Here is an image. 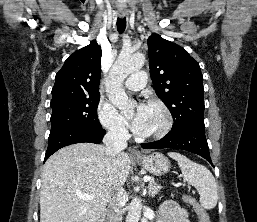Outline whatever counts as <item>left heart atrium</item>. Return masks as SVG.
I'll use <instances>...</instances> for the list:
<instances>
[{"label":"left heart atrium","instance_id":"1","mask_svg":"<svg viewBox=\"0 0 257 222\" xmlns=\"http://www.w3.org/2000/svg\"><path fill=\"white\" fill-rule=\"evenodd\" d=\"M150 110L149 105L139 102L133 117L130 120V128L136 134H146Z\"/></svg>","mask_w":257,"mask_h":222}]
</instances>
